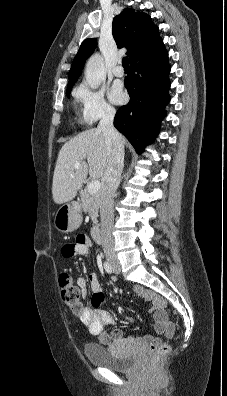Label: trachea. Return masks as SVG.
<instances>
[{"mask_svg":"<svg viewBox=\"0 0 227 396\" xmlns=\"http://www.w3.org/2000/svg\"><path fill=\"white\" fill-rule=\"evenodd\" d=\"M122 66H123L124 68H129V59H128V57H124V58L122 59Z\"/></svg>","mask_w":227,"mask_h":396,"instance_id":"obj_1","label":"trachea"}]
</instances>
